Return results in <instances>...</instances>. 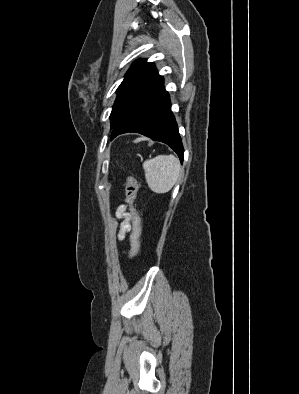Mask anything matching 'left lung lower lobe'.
I'll return each mask as SVG.
<instances>
[{
	"mask_svg": "<svg viewBox=\"0 0 299 394\" xmlns=\"http://www.w3.org/2000/svg\"><path fill=\"white\" fill-rule=\"evenodd\" d=\"M127 132L141 133L154 141L169 145L183 162L184 149L171 112L170 98L163 86V77L154 81L135 100L113 128L111 140Z\"/></svg>",
	"mask_w": 299,
	"mask_h": 394,
	"instance_id": "1",
	"label": "left lung lower lobe"
}]
</instances>
